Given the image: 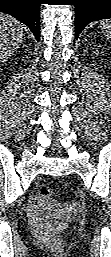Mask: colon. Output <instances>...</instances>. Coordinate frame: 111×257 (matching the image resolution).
Listing matches in <instances>:
<instances>
[{
	"label": "colon",
	"instance_id": "1",
	"mask_svg": "<svg viewBox=\"0 0 111 257\" xmlns=\"http://www.w3.org/2000/svg\"><path fill=\"white\" fill-rule=\"evenodd\" d=\"M52 190L47 186H42L39 189L38 195L36 197V203L41 207H54L51 197H52Z\"/></svg>",
	"mask_w": 111,
	"mask_h": 257
}]
</instances>
